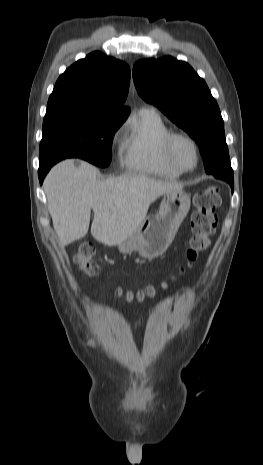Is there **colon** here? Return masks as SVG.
I'll return each instance as SVG.
<instances>
[{
	"instance_id": "5ec220e1",
	"label": "colon",
	"mask_w": 263,
	"mask_h": 465,
	"mask_svg": "<svg viewBox=\"0 0 263 465\" xmlns=\"http://www.w3.org/2000/svg\"><path fill=\"white\" fill-rule=\"evenodd\" d=\"M220 202L219 191L215 186H208L194 196L195 210L192 213L190 223L193 235L186 254L188 267L198 260L200 253L206 250L210 244V236L214 234L217 227L215 211ZM93 256L94 248L89 244L81 245L75 256L80 270L89 276H93L99 271V265L93 260ZM185 270L186 268H182L178 276H181ZM163 285L166 287L167 283ZM154 292V288L148 286L136 293L128 292L126 297L130 301L134 299L143 300L146 297L153 296Z\"/></svg>"
}]
</instances>
